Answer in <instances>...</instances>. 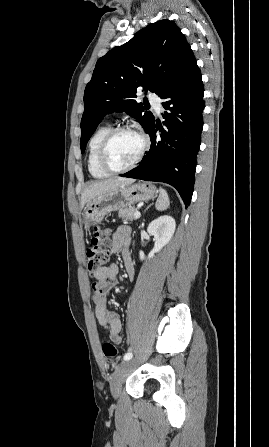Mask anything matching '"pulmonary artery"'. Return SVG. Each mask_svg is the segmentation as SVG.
I'll use <instances>...</instances> for the list:
<instances>
[{
  "label": "pulmonary artery",
  "mask_w": 269,
  "mask_h": 447,
  "mask_svg": "<svg viewBox=\"0 0 269 447\" xmlns=\"http://www.w3.org/2000/svg\"><path fill=\"white\" fill-rule=\"evenodd\" d=\"M150 101H151L155 111L159 114L163 108L160 98L157 96L150 97Z\"/></svg>",
  "instance_id": "1"
}]
</instances>
